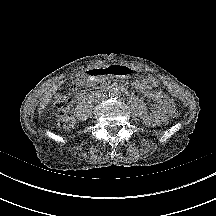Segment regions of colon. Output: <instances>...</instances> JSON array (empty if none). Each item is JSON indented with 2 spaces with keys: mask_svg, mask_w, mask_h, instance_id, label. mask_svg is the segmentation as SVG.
<instances>
[{
  "mask_svg": "<svg viewBox=\"0 0 216 216\" xmlns=\"http://www.w3.org/2000/svg\"><path fill=\"white\" fill-rule=\"evenodd\" d=\"M71 104V99L66 95L58 94L55 97V123L60 129L68 130L73 128L75 125L74 118L70 112ZM169 116L173 119H176L181 116V112L175 109L169 112Z\"/></svg>",
  "mask_w": 216,
  "mask_h": 216,
  "instance_id": "5ec220e1",
  "label": "colon"
}]
</instances>
